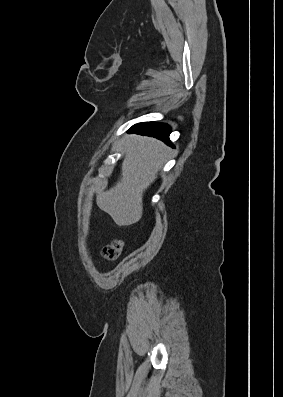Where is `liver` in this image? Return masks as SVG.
<instances>
[{
  "mask_svg": "<svg viewBox=\"0 0 283 397\" xmlns=\"http://www.w3.org/2000/svg\"><path fill=\"white\" fill-rule=\"evenodd\" d=\"M167 152L168 147L154 138H128L120 180L96 197L98 207L118 226H129L141 219L143 193L155 181Z\"/></svg>",
  "mask_w": 283,
  "mask_h": 397,
  "instance_id": "liver-1",
  "label": "liver"
}]
</instances>
